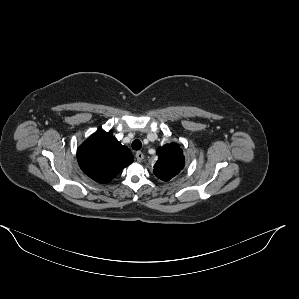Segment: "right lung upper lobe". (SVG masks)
<instances>
[{"mask_svg": "<svg viewBox=\"0 0 299 299\" xmlns=\"http://www.w3.org/2000/svg\"><path fill=\"white\" fill-rule=\"evenodd\" d=\"M77 160L82 171L94 181L104 184L130 165L134 157L121 145L112 132L98 131L77 150Z\"/></svg>", "mask_w": 299, "mask_h": 299, "instance_id": "right-lung-upper-lobe-1", "label": "right lung upper lobe"}]
</instances>
